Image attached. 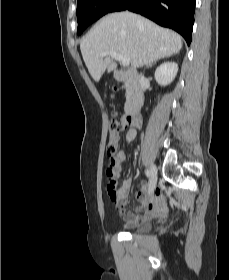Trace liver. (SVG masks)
Returning <instances> with one entry per match:
<instances>
[{
	"mask_svg": "<svg viewBox=\"0 0 229 280\" xmlns=\"http://www.w3.org/2000/svg\"><path fill=\"white\" fill-rule=\"evenodd\" d=\"M181 48L179 34L127 11L104 16L80 43L85 65L96 82L106 69L111 72L117 67L114 58L101 57L102 52L113 51L129 57L135 69L170 57Z\"/></svg>",
	"mask_w": 229,
	"mask_h": 280,
	"instance_id": "liver-1",
	"label": "liver"
}]
</instances>
